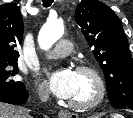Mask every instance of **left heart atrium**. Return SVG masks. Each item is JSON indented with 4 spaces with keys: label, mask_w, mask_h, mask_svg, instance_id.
<instances>
[{
    "label": "left heart atrium",
    "mask_w": 133,
    "mask_h": 118,
    "mask_svg": "<svg viewBox=\"0 0 133 118\" xmlns=\"http://www.w3.org/2000/svg\"><path fill=\"white\" fill-rule=\"evenodd\" d=\"M77 73L69 68L56 71L49 77V89L58 98L71 99L77 89Z\"/></svg>",
    "instance_id": "39dd6f15"
}]
</instances>
